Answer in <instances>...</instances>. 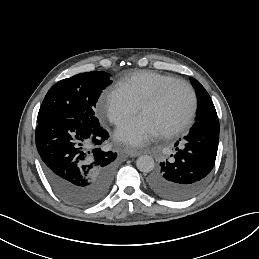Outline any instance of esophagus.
<instances>
[{
	"label": "esophagus",
	"mask_w": 259,
	"mask_h": 259,
	"mask_svg": "<svg viewBox=\"0 0 259 259\" xmlns=\"http://www.w3.org/2000/svg\"><path fill=\"white\" fill-rule=\"evenodd\" d=\"M126 153L129 155V156H139L140 155V152H138L137 150H134L130 147H127L126 148Z\"/></svg>",
	"instance_id": "1"
}]
</instances>
